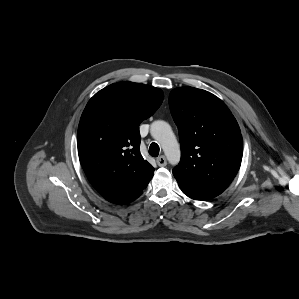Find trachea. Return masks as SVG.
Returning <instances> with one entry per match:
<instances>
[{"label":"trachea","instance_id":"1","mask_svg":"<svg viewBox=\"0 0 299 299\" xmlns=\"http://www.w3.org/2000/svg\"><path fill=\"white\" fill-rule=\"evenodd\" d=\"M159 146L158 144L156 143H151L150 147H149V154L152 156V157H158L159 155Z\"/></svg>","mask_w":299,"mask_h":299}]
</instances>
